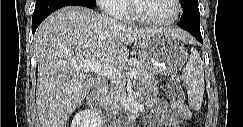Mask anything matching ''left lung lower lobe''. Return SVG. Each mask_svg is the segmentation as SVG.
Here are the masks:
<instances>
[{
	"label": "left lung lower lobe",
	"instance_id": "left-lung-lower-lobe-1",
	"mask_svg": "<svg viewBox=\"0 0 243 127\" xmlns=\"http://www.w3.org/2000/svg\"><path fill=\"white\" fill-rule=\"evenodd\" d=\"M178 25L191 33L201 44H203L200 32V13L198 7L184 8Z\"/></svg>",
	"mask_w": 243,
	"mask_h": 127
}]
</instances>
